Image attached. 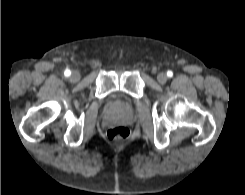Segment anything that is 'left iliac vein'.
I'll return each instance as SVG.
<instances>
[{
	"label": "left iliac vein",
	"instance_id": "left-iliac-vein-1",
	"mask_svg": "<svg viewBox=\"0 0 245 195\" xmlns=\"http://www.w3.org/2000/svg\"><path fill=\"white\" fill-rule=\"evenodd\" d=\"M157 81H158L160 84L166 83V81H167V76H166V74H165V73H159V74L157 75Z\"/></svg>",
	"mask_w": 245,
	"mask_h": 195
}]
</instances>
